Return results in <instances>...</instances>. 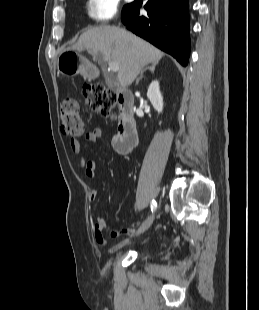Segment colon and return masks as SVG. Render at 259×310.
Returning a JSON list of instances; mask_svg holds the SVG:
<instances>
[{
	"label": "colon",
	"mask_w": 259,
	"mask_h": 310,
	"mask_svg": "<svg viewBox=\"0 0 259 310\" xmlns=\"http://www.w3.org/2000/svg\"><path fill=\"white\" fill-rule=\"evenodd\" d=\"M82 94L90 109L101 116L114 120L112 108L117 103V95L113 90L102 84L87 85L82 89ZM60 121L63 131L77 138L83 135L84 125L80 114L77 99L73 96L66 97L60 106Z\"/></svg>",
	"instance_id": "colon-1"
}]
</instances>
